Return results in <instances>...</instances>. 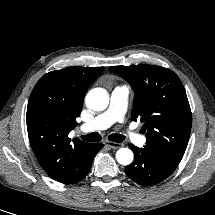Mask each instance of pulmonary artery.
Here are the masks:
<instances>
[{
	"mask_svg": "<svg viewBox=\"0 0 215 215\" xmlns=\"http://www.w3.org/2000/svg\"><path fill=\"white\" fill-rule=\"evenodd\" d=\"M129 96V88L127 86H116L110 95L109 107L103 113L97 115L91 121L83 124L80 129L83 132H92L104 130L115 122H121L127 109V100ZM127 138L137 145H143L146 142L144 136L129 130Z\"/></svg>",
	"mask_w": 215,
	"mask_h": 215,
	"instance_id": "pulmonary-artery-1",
	"label": "pulmonary artery"
}]
</instances>
